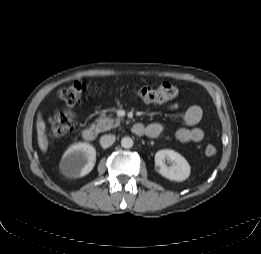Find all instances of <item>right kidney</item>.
Returning a JSON list of instances; mask_svg holds the SVG:
<instances>
[{"instance_id": "ca27d5eb", "label": "right kidney", "mask_w": 261, "mask_h": 254, "mask_svg": "<svg viewBox=\"0 0 261 254\" xmlns=\"http://www.w3.org/2000/svg\"><path fill=\"white\" fill-rule=\"evenodd\" d=\"M96 162V150L87 143H76L64 153L60 168L69 178H78L90 173Z\"/></svg>"}]
</instances>
